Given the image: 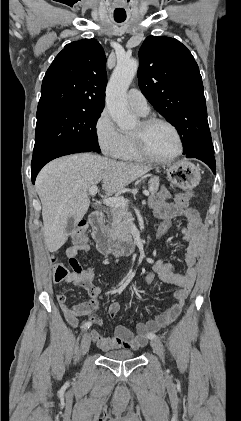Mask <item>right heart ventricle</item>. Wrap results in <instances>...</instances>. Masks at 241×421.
<instances>
[{"instance_id": "1", "label": "right heart ventricle", "mask_w": 241, "mask_h": 421, "mask_svg": "<svg viewBox=\"0 0 241 421\" xmlns=\"http://www.w3.org/2000/svg\"><path fill=\"white\" fill-rule=\"evenodd\" d=\"M142 115V114H141ZM145 116V115H142ZM118 159L124 161H137L141 162L145 159L138 153L134 140L132 137V132H122V143L119 149L117 157Z\"/></svg>"}]
</instances>
